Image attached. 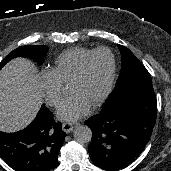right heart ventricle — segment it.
<instances>
[{
	"label": "right heart ventricle",
	"mask_w": 171,
	"mask_h": 171,
	"mask_svg": "<svg viewBox=\"0 0 171 171\" xmlns=\"http://www.w3.org/2000/svg\"><path fill=\"white\" fill-rule=\"evenodd\" d=\"M94 50L72 48L62 52L54 61L50 70L62 84H67L81 62Z\"/></svg>",
	"instance_id": "right-heart-ventricle-1"
}]
</instances>
